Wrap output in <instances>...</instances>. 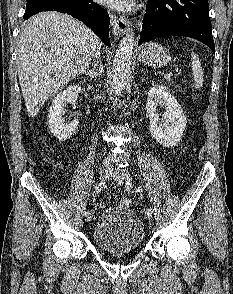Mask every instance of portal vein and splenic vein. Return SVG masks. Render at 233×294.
Masks as SVG:
<instances>
[{"instance_id":"obj_1","label":"portal vein and splenic vein","mask_w":233,"mask_h":294,"mask_svg":"<svg viewBox=\"0 0 233 294\" xmlns=\"http://www.w3.org/2000/svg\"><path fill=\"white\" fill-rule=\"evenodd\" d=\"M171 76H172V74H171V73H167V74L165 75V79H170V78H171Z\"/></svg>"}]
</instances>
